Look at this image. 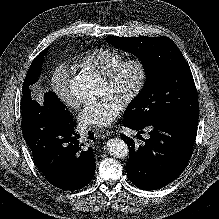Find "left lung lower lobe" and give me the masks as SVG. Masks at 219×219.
<instances>
[{
  "label": "left lung lower lobe",
  "mask_w": 219,
  "mask_h": 219,
  "mask_svg": "<svg viewBox=\"0 0 219 219\" xmlns=\"http://www.w3.org/2000/svg\"><path fill=\"white\" fill-rule=\"evenodd\" d=\"M198 116L199 114L184 115L145 124L122 120L124 126L137 130L139 134H142L145 127L150 130L149 139L138 148H135L131 138L122 136L130 146L126 170L134 185L143 190H156L179 177L192 156Z\"/></svg>",
  "instance_id": "left-lung-lower-lobe-1"
}]
</instances>
